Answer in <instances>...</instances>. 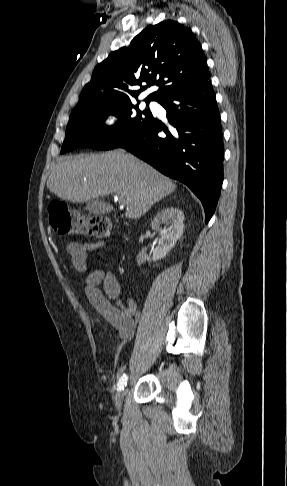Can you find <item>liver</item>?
I'll use <instances>...</instances> for the list:
<instances>
[{"mask_svg":"<svg viewBox=\"0 0 287 486\" xmlns=\"http://www.w3.org/2000/svg\"><path fill=\"white\" fill-rule=\"evenodd\" d=\"M47 187L57 197L75 203L117 193L127 201L125 216L129 219L140 218L176 189L168 177L118 150L60 158Z\"/></svg>","mask_w":287,"mask_h":486,"instance_id":"1","label":"liver"}]
</instances>
